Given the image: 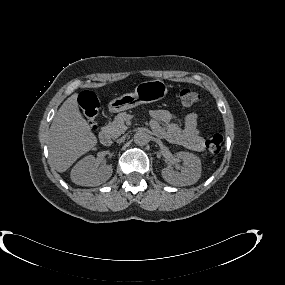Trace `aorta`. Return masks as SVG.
<instances>
[{
	"instance_id": "1",
	"label": "aorta",
	"mask_w": 285,
	"mask_h": 285,
	"mask_svg": "<svg viewBox=\"0 0 285 285\" xmlns=\"http://www.w3.org/2000/svg\"><path fill=\"white\" fill-rule=\"evenodd\" d=\"M134 142L138 146H144L149 142V136L144 131H137L134 134Z\"/></svg>"
}]
</instances>
